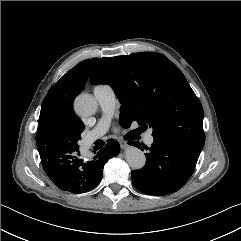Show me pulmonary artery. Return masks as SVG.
Wrapping results in <instances>:
<instances>
[{
    "label": "pulmonary artery",
    "mask_w": 241,
    "mask_h": 241,
    "mask_svg": "<svg viewBox=\"0 0 241 241\" xmlns=\"http://www.w3.org/2000/svg\"><path fill=\"white\" fill-rule=\"evenodd\" d=\"M94 96L97 99L99 106L103 112V117L98 125L87 134L85 138V146L89 147L94 141L103 136L109 125V119L113 114L116 102L115 91L109 85H98L93 90ZM154 141L152 132L149 131L145 137V142L151 145Z\"/></svg>",
    "instance_id": "e3ab8cb5"
}]
</instances>
